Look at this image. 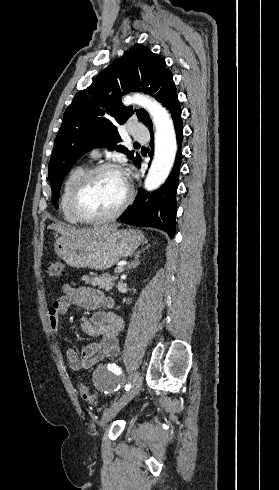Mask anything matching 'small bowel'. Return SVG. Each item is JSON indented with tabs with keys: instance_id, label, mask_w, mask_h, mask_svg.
I'll return each instance as SVG.
<instances>
[{
	"instance_id": "small-bowel-1",
	"label": "small bowel",
	"mask_w": 279,
	"mask_h": 490,
	"mask_svg": "<svg viewBox=\"0 0 279 490\" xmlns=\"http://www.w3.org/2000/svg\"><path fill=\"white\" fill-rule=\"evenodd\" d=\"M70 305L92 312L91 316L81 317L80 326L86 334L95 336L97 342L85 346L80 355L72 348L67 349L65 357L69 367L78 371L91 368L105 359L117 357L120 352L118 336L124 323L112 311L115 307L114 298L89 286H64L63 294L54 300L47 312L48 324L54 334L60 332V315Z\"/></svg>"
}]
</instances>
